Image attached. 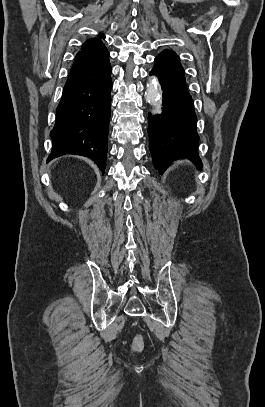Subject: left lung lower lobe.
I'll use <instances>...</instances> for the list:
<instances>
[{
  "instance_id": "obj_1",
  "label": "left lung lower lobe",
  "mask_w": 265,
  "mask_h": 407,
  "mask_svg": "<svg viewBox=\"0 0 265 407\" xmlns=\"http://www.w3.org/2000/svg\"><path fill=\"white\" fill-rule=\"evenodd\" d=\"M150 75L159 78L163 90L162 113L149 115V148L160 174L178 159H189L202 168L198 156L199 136L193 100L185 86V76L155 58Z\"/></svg>"
}]
</instances>
